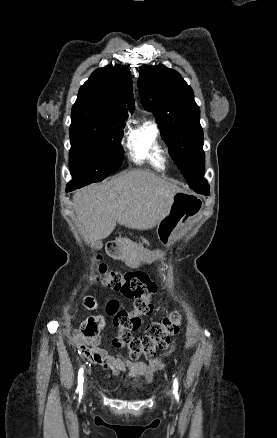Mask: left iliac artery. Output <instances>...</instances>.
Returning a JSON list of instances; mask_svg holds the SVG:
<instances>
[{
    "instance_id": "obj_1",
    "label": "left iliac artery",
    "mask_w": 277,
    "mask_h": 438,
    "mask_svg": "<svg viewBox=\"0 0 277 438\" xmlns=\"http://www.w3.org/2000/svg\"><path fill=\"white\" fill-rule=\"evenodd\" d=\"M173 393H174L176 399H178L179 395H178V379L177 378H175L174 382H173Z\"/></svg>"
}]
</instances>
